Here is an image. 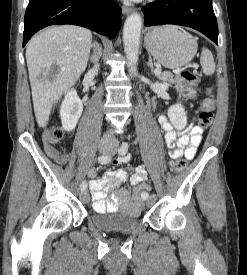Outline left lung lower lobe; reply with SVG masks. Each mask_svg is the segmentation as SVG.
I'll return each mask as SVG.
<instances>
[{
	"label": "left lung lower lobe",
	"mask_w": 247,
	"mask_h": 275,
	"mask_svg": "<svg viewBox=\"0 0 247 275\" xmlns=\"http://www.w3.org/2000/svg\"><path fill=\"white\" fill-rule=\"evenodd\" d=\"M145 26L176 24L196 29L218 44L212 0H156L142 8Z\"/></svg>",
	"instance_id": "0a47b994"
}]
</instances>
